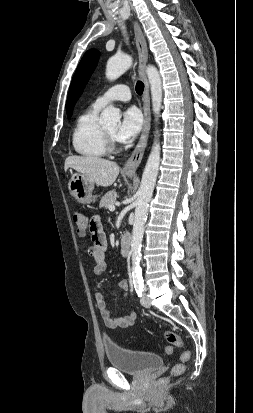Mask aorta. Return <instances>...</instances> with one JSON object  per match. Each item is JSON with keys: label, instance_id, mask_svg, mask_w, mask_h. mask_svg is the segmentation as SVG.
<instances>
[{"label": "aorta", "instance_id": "762f6f07", "mask_svg": "<svg viewBox=\"0 0 253 413\" xmlns=\"http://www.w3.org/2000/svg\"><path fill=\"white\" fill-rule=\"evenodd\" d=\"M132 63V58L129 55L111 57L106 65L107 79L110 81L116 80L132 66ZM146 74L150 83L152 109L155 114V121L157 122L158 117L160 116L163 97L162 80L157 68L153 65L147 66ZM101 117L103 124L116 125L120 122L121 114L117 108L108 106L102 111ZM160 150V143L158 140H155L143 171L140 188L138 190L130 251L132 258V270L135 272L140 270L139 263L141 259V244L144 234V225L146 222L147 208L151 200L158 175Z\"/></svg>", "mask_w": 253, "mask_h": 413}]
</instances>
